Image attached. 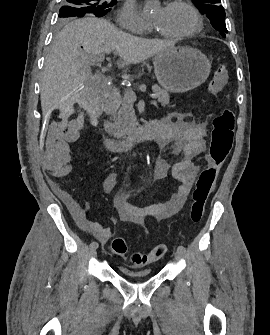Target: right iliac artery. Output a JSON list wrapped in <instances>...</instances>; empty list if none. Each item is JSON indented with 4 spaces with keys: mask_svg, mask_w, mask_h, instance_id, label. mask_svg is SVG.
<instances>
[{
    "mask_svg": "<svg viewBox=\"0 0 270 335\" xmlns=\"http://www.w3.org/2000/svg\"><path fill=\"white\" fill-rule=\"evenodd\" d=\"M90 248H98V243L97 242H91Z\"/></svg>",
    "mask_w": 270,
    "mask_h": 335,
    "instance_id": "1",
    "label": "right iliac artery"
}]
</instances>
